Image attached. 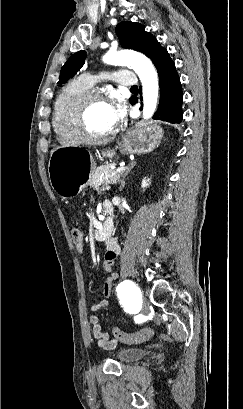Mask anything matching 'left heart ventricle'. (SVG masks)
I'll return each mask as SVG.
<instances>
[{
    "mask_svg": "<svg viewBox=\"0 0 243 409\" xmlns=\"http://www.w3.org/2000/svg\"><path fill=\"white\" fill-rule=\"evenodd\" d=\"M112 105L109 102L95 101L86 111V125L90 133L94 135L105 134L113 129Z\"/></svg>",
    "mask_w": 243,
    "mask_h": 409,
    "instance_id": "obj_1",
    "label": "left heart ventricle"
}]
</instances>
